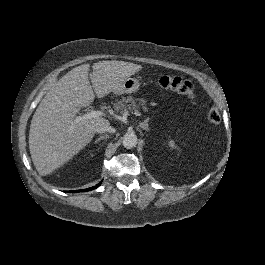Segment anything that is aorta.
<instances>
[{"label": "aorta", "mask_w": 265, "mask_h": 265, "mask_svg": "<svg viewBox=\"0 0 265 265\" xmlns=\"http://www.w3.org/2000/svg\"><path fill=\"white\" fill-rule=\"evenodd\" d=\"M137 145V136L134 132H127L123 136V146L127 149H131Z\"/></svg>", "instance_id": "aorta-1"}]
</instances>
